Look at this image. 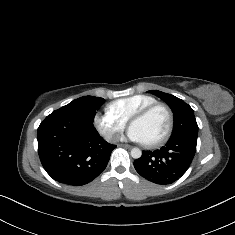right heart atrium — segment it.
<instances>
[{
  "label": "right heart atrium",
  "instance_id": "obj_1",
  "mask_svg": "<svg viewBox=\"0 0 235 235\" xmlns=\"http://www.w3.org/2000/svg\"><path fill=\"white\" fill-rule=\"evenodd\" d=\"M92 122L96 130L106 139L111 140L117 133L125 130L128 120L115 114L111 105H105L94 113Z\"/></svg>",
  "mask_w": 235,
  "mask_h": 235
}]
</instances>
